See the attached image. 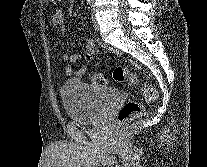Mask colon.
Here are the masks:
<instances>
[{"instance_id": "1", "label": "colon", "mask_w": 207, "mask_h": 167, "mask_svg": "<svg viewBox=\"0 0 207 167\" xmlns=\"http://www.w3.org/2000/svg\"><path fill=\"white\" fill-rule=\"evenodd\" d=\"M113 78L117 82L128 81L129 85L137 86L139 78L136 73L126 67H116L113 71ZM91 81L94 85L105 87L108 85L109 79L105 74L96 73L92 76ZM140 93L146 103H152L158 98L156 88L150 84H143L140 88ZM145 110V104L138 101H127L119 110L117 118L123 123L133 117L141 115Z\"/></svg>"}]
</instances>
